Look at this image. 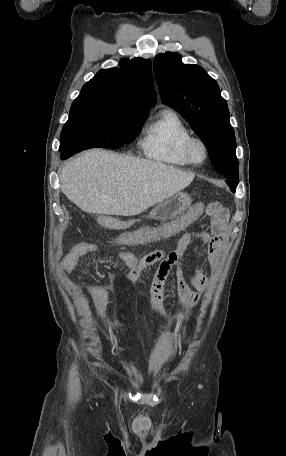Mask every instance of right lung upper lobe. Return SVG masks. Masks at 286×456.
Segmentation results:
<instances>
[{
	"label": "right lung upper lobe",
	"mask_w": 286,
	"mask_h": 456,
	"mask_svg": "<svg viewBox=\"0 0 286 456\" xmlns=\"http://www.w3.org/2000/svg\"><path fill=\"white\" fill-rule=\"evenodd\" d=\"M73 103L149 113V108L156 103L151 61L122 59L119 68L100 70L83 86Z\"/></svg>",
	"instance_id": "obj_1"
}]
</instances>
